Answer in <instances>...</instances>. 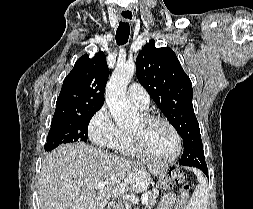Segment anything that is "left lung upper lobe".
<instances>
[{
    "instance_id": "1",
    "label": "left lung upper lobe",
    "mask_w": 253,
    "mask_h": 209,
    "mask_svg": "<svg viewBox=\"0 0 253 209\" xmlns=\"http://www.w3.org/2000/svg\"><path fill=\"white\" fill-rule=\"evenodd\" d=\"M136 74L159 109L183 139L180 164L196 167L205 161L199 124L192 104V83L169 47L156 48L150 40L136 59Z\"/></svg>"
}]
</instances>
